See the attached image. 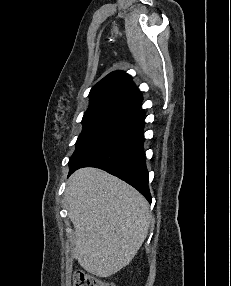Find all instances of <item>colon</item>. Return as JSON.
<instances>
[{
  "label": "colon",
  "mask_w": 231,
  "mask_h": 286,
  "mask_svg": "<svg viewBox=\"0 0 231 286\" xmlns=\"http://www.w3.org/2000/svg\"><path fill=\"white\" fill-rule=\"evenodd\" d=\"M73 286H116L113 283L101 281L83 271H77L73 276Z\"/></svg>",
  "instance_id": "1"
}]
</instances>
